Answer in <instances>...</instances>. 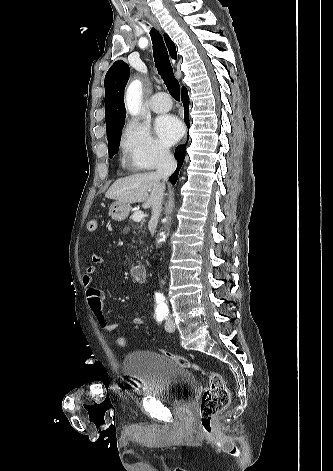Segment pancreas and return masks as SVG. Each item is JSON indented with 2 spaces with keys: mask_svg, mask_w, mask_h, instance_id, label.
Here are the masks:
<instances>
[{
  "mask_svg": "<svg viewBox=\"0 0 333 471\" xmlns=\"http://www.w3.org/2000/svg\"><path fill=\"white\" fill-rule=\"evenodd\" d=\"M133 219V218H132ZM130 225L131 226H125V228L123 229V234H127L131 231V228L133 229V233L134 234H139L140 232H142V225L141 224L140 226L139 225H134L132 222H130ZM133 242H135V240H133Z\"/></svg>",
  "mask_w": 333,
  "mask_h": 471,
  "instance_id": "obj_1",
  "label": "pancreas"
}]
</instances>
